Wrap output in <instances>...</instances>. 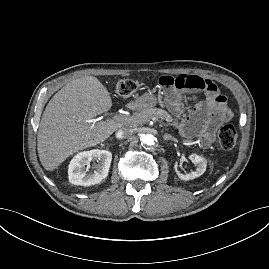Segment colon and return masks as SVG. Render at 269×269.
<instances>
[{
  "label": "colon",
  "mask_w": 269,
  "mask_h": 269,
  "mask_svg": "<svg viewBox=\"0 0 269 269\" xmlns=\"http://www.w3.org/2000/svg\"><path fill=\"white\" fill-rule=\"evenodd\" d=\"M142 82L137 79L121 80L116 86V93L120 96L134 95L140 88ZM218 143L224 150H232L237 142V131L234 126L226 124L218 131Z\"/></svg>",
  "instance_id": "colon-1"
}]
</instances>
